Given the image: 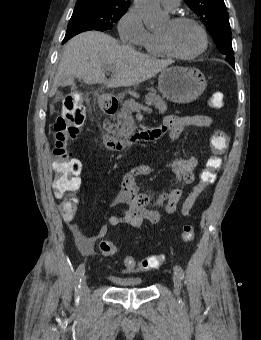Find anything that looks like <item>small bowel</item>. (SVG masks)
Returning a JSON list of instances; mask_svg holds the SVG:
<instances>
[{
	"label": "small bowel",
	"mask_w": 261,
	"mask_h": 340,
	"mask_svg": "<svg viewBox=\"0 0 261 340\" xmlns=\"http://www.w3.org/2000/svg\"><path fill=\"white\" fill-rule=\"evenodd\" d=\"M212 119L208 115L189 116H166L159 127L157 133L159 138L167 135L169 144L176 141L186 127L209 128ZM169 167L174 174V185L170 189L162 192L153 199L150 195L141 193L136 184L138 176L146 177L150 175L151 168L146 165H139L129 169L122 177L121 189L113 198L114 206H124L119 214H113L108 219V225L117 226L128 225L133 228H140L145 223L156 224L160 219L158 208L164 205L168 214H173L182 198L181 186L192 184L196 179L195 169L198 165L196 157L180 159L172 148L167 153ZM80 180V178H79ZM206 188L196 186L183 202L181 213L187 216L193 207L196 199ZM73 215H63V220L72 232L78 248L86 254L94 251L97 240L103 238L108 231V225H103L93 236L83 234L81 228L74 222Z\"/></svg>",
	"instance_id": "1"
}]
</instances>
